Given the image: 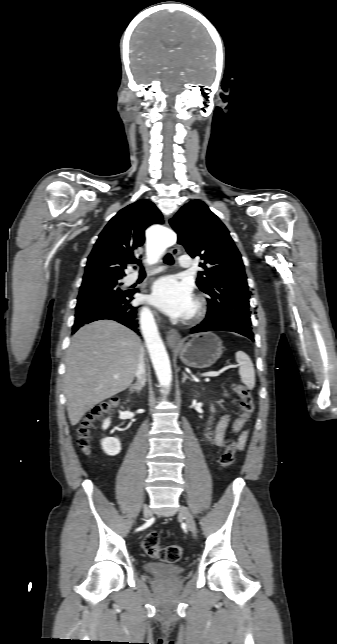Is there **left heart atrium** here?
Returning a JSON list of instances; mask_svg holds the SVG:
<instances>
[{
  "mask_svg": "<svg viewBox=\"0 0 337 644\" xmlns=\"http://www.w3.org/2000/svg\"><path fill=\"white\" fill-rule=\"evenodd\" d=\"M151 300L160 310L175 318L187 317L194 305L191 286L174 276H164L154 282Z\"/></svg>",
  "mask_w": 337,
  "mask_h": 644,
  "instance_id": "left-heart-atrium-1",
  "label": "left heart atrium"
}]
</instances>
